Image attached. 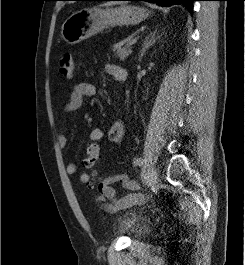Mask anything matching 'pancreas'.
Masks as SVG:
<instances>
[{
	"label": "pancreas",
	"instance_id": "pancreas-1",
	"mask_svg": "<svg viewBox=\"0 0 245 265\" xmlns=\"http://www.w3.org/2000/svg\"><path fill=\"white\" fill-rule=\"evenodd\" d=\"M113 52H115V57H118L121 61L127 59V57L132 53L131 46L128 44L122 48H113Z\"/></svg>",
	"mask_w": 245,
	"mask_h": 265
}]
</instances>
